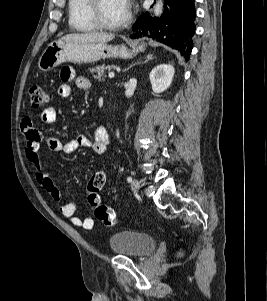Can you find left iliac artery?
Instances as JSON below:
<instances>
[{
    "label": "left iliac artery",
    "mask_w": 267,
    "mask_h": 301,
    "mask_svg": "<svg viewBox=\"0 0 267 301\" xmlns=\"http://www.w3.org/2000/svg\"><path fill=\"white\" fill-rule=\"evenodd\" d=\"M127 181L130 183V182L132 181V177L129 176V177L127 178Z\"/></svg>",
    "instance_id": "obj_1"
}]
</instances>
